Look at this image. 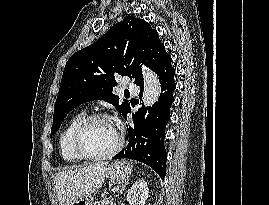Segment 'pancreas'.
Here are the masks:
<instances>
[{
    "mask_svg": "<svg viewBox=\"0 0 269 205\" xmlns=\"http://www.w3.org/2000/svg\"><path fill=\"white\" fill-rule=\"evenodd\" d=\"M97 205H114L112 198H104L102 201L98 202Z\"/></svg>",
    "mask_w": 269,
    "mask_h": 205,
    "instance_id": "obj_1",
    "label": "pancreas"
}]
</instances>
